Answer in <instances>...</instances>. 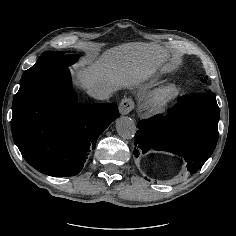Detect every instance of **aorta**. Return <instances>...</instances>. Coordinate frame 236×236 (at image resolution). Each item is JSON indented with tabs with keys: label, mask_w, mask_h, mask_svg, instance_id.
I'll list each match as a JSON object with an SVG mask.
<instances>
[{
	"label": "aorta",
	"mask_w": 236,
	"mask_h": 236,
	"mask_svg": "<svg viewBox=\"0 0 236 236\" xmlns=\"http://www.w3.org/2000/svg\"><path fill=\"white\" fill-rule=\"evenodd\" d=\"M116 129L118 134L124 139H132L135 136L137 127L133 119L121 117L116 121Z\"/></svg>",
	"instance_id": "762f6f07"
}]
</instances>
